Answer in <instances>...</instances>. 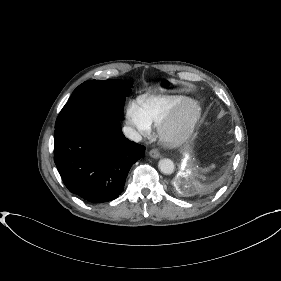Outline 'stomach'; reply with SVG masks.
I'll return each mask as SVG.
<instances>
[{
    "mask_svg": "<svg viewBox=\"0 0 281 281\" xmlns=\"http://www.w3.org/2000/svg\"><path fill=\"white\" fill-rule=\"evenodd\" d=\"M161 91L174 92L181 89V82L174 79H161L158 83Z\"/></svg>",
    "mask_w": 281,
    "mask_h": 281,
    "instance_id": "1",
    "label": "stomach"
}]
</instances>
